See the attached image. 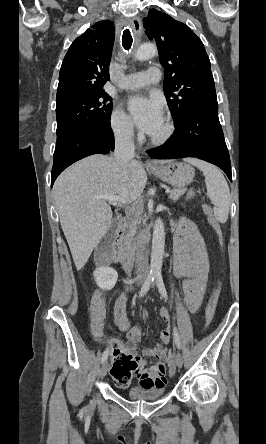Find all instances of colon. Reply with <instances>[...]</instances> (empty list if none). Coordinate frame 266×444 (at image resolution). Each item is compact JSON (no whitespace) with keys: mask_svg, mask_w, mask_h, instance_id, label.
I'll return each instance as SVG.
<instances>
[{"mask_svg":"<svg viewBox=\"0 0 266 444\" xmlns=\"http://www.w3.org/2000/svg\"><path fill=\"white\" fill-rule=\"evenodd\" d=\"M193 195H194V191H191V192H189L188 197H192ZM204 210H205V213L208 217L210 225L212 226V228L214 229V231L216 233L218 243L222 247L223 246V234H222L221 227H220L219 223L217 222V220L215 219V217L212 213V210L208 205H204ZM219 293H220V282H218L216 284V286L213 288L211 296L209 298L208 305H207L206 312H205V316H204V328H207L210 325V323L214 317ZM173 357H174V354H173V352L170 351L168 353V359L173 360Z\"/></svg>","mask_w":266,"mask_h":444,"instance_id":"1","label":"colon"}]
</instances>
